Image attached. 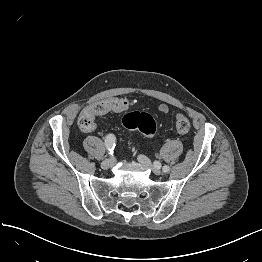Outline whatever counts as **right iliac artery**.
Masks as SVG:
<instances>
[{"label": "right iliac artery", "instance_id": "82829eb1", "mask_svg": "<svg viewBox=\"0 0 262 262\" xmlns=\"http://www.w3.org/2000/svg\"><path fill=\"white\" fill-rule=\"evenodd\" d=\"M105 147L107 148V150H109L110 154L113 153L114 148L116 146V138L113 134H108L105 137V141H104Z\"/></svg>", "mask_w": 262, "mask_h": 262}]
</instances>
